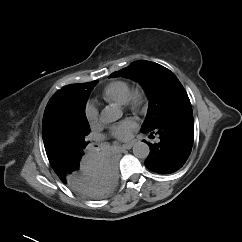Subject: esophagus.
Wrapping results in <instances>:
<instances>
[{
	"instance_id": "obj_1",
	"label": "esophagus",
	"mask_w": 242,
	"mask_h": 242,
	"mask_svg": "<svg viewBox=\"0 0 242 242\" xmlns=\"http://www.w3.org/2000/svg\"><path fill=\"white\" fill-rule=\"evenodd\" d=\"M133 147V143L131 142V143H127V144H124V145H122V150L124 151V150H129V149H131Z\"/></svg>"
}]
</instances>
